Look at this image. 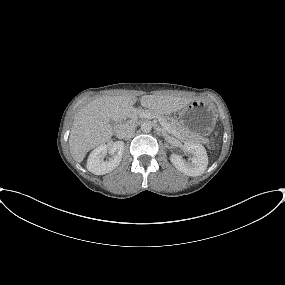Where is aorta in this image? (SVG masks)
<instances>
[{
    "instance_id": "obj_1",
    "label": "aorta",
    "mask_w": 285,
    "mask_h": 285,
    "mask_svg": "<svg viewBox=\"0 0 285 285\" xmlns=\"http://www.w3.org/2000/svg\"><path fill=\"white\" fill-rule=\"evenodd\" d=\"M141 130H142V132H144V133H149V132H151V130H152V124H151V122H149V121L143 122V123L141 124Z\"/></svg>"
}]
</instances>
